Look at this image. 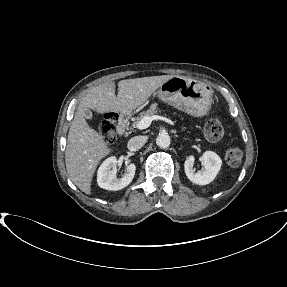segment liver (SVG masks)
Instances as JSON below:
<instances>
[{
    "instance_id": "1",
    "label": "liver",
    "mask_w": 287,
    "mask_h": 287,
    "mask_svg": "<svg viewBox=\"0 0 287 287\" xmlns=\"http://www.w3.org/2000/svg\"><path fill=\"white\" fill-rule=\"evenodd\" d=\"M172 75L151 76L118 82H107L90 90L81 100L70 125L65 150V163L69 178L85 194H91V182L102 158L112 150L103 136L90 128L85 120V109L98 113L128 112L142 108L149 97L172 78Z\"/></svg>"
}]
</instances>
